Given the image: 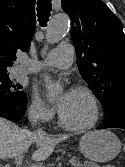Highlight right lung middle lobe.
Instances as JSON below:
<instances>
[{"label":"right lung middle lobe","mask_w":125,"mask_h":167,"mask_svg":"<svg viewBox=\"0 0 125 167\" xmlns=\"http://www.w3.org/2000/svg\"><path fill=\"white\" fill-rule=\"evenodd\" d=\"M21 88L20 84L10 81L7 73L0 74V96L14 102L23 101L26 95Z\"/></svg>","instance_id":"dd1d6c3e"}]
</instances>
